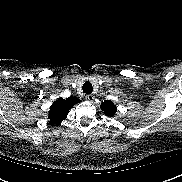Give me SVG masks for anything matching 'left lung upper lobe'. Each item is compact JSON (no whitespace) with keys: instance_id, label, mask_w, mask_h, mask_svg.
Masks as SVG:
<instances>
[{"instance_id":"5c2ea615","label":"left lung upper lobe","mask_w":182,"mask_h":182,"mask_svg":"<svg viewBox=\"0 0 182 182\" xmlns=\"http://www.w3.org/2000/svg\"><path fill=\"white\" fill-rule=\"evenodd\" d=\"M100 107L106 116L113 117L117 112V107L110 100H105L102 102Z\"/></svg>"}]
</instances>
